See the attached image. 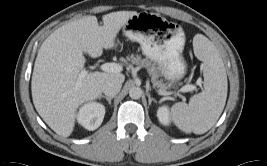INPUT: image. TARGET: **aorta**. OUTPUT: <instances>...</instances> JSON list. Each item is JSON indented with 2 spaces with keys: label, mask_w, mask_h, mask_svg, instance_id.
Wrapping results in <instances>:
<instances>
[{
  "label": "aorta",
  "mask_w": 267,
  "mask_h": 166,
  "mask_svg": "<svg viewBox=\"0 0 267 166\" xmlns=\"http://www.w3.org/2000/svg\"><path fill=\"white\" fill-rule=\"evenodd\" d=\"M142 94H143V91L139 87H132L129 90V96L132 99H139V98H141Z\"/></svg>",
  "instance_id": "obj_1"
}]
</instances>
